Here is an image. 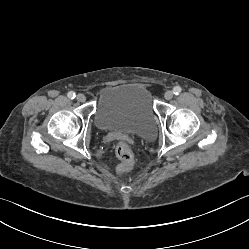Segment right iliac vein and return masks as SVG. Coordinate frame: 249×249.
Segmentation results:
<instances>
[{
  "label": "right iliac vein",
  "instance_id": "right-iliac-vein-1",
  "mask_svg": "<svg viewBox=\"0 0 249 249\" xmlns=\"http://www.w3.org/2000/svg\"><path fill=\"white\" fill-rule=\"evenodd\" d=\"M77 101L79 102H85L86 100V97L84 94H78L77 97H76Z\"/></svg>",
  "mask_w": 249,
  "mask_h": 249
}]
</instances>
